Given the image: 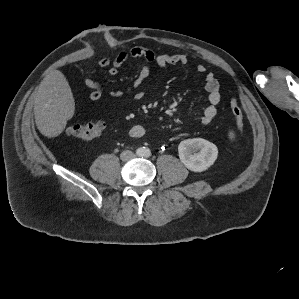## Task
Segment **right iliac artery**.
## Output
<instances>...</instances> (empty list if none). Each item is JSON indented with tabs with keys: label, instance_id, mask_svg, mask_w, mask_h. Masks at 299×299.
<instances>
[{
	"label": "right iliac artery",
	"instance_id": "82829eb1",
	"mask_svg": "<svg viewBox=\"0 0 299 299\" xmlns=\"http://www.w3.org/2000/svg\"><path fill=\"white\" fill-rule=\"evenodd\" d=\"M137 155H141V151L140 150H137Z\"/></svg>",
	"mask_w": 299,
	"mask_h": 299
}]
</instances>
